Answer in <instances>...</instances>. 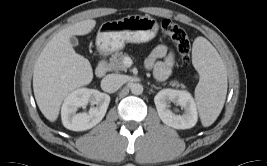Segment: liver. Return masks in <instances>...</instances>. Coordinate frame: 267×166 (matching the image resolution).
<instances>
[{"mask_svg":"<svg viewBox=\"0 0 267 166\" xmlns=\"http://www.w3.org/2000/svg\"><path fill=\"white\" fill-rule=\"evenodd\" d=\"M96 25L92 19L77 22L58 32L41 51L33 72V90L42 114L56 121L63 100L76 88L88 85L93 70L88 59L70 43L73 35H86Z\"/></svg>","mask_w":267,"mask_h":166,"instance_id":"1","label":"liver"}]
</instances>
